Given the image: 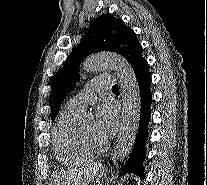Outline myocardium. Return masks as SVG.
Returning <instances> with one entry per match:
<instances>
[{
    "mask_svg": "<svg viewBox=\"0 0 207 185\" xmlns=\"http://www.w3.org/2000/svg\"><path fill=\"white\" fill-rule=\"evenodd\" d=\"M79 138L82 142V144L93 154H100L103 153L105 150L108 149L110 146V142L108 140H105L101 143H98L94 138L88 136L82 127L78 130Z\"/></svg>",
    "mask_w": 207,
    "mask_h": 185,
    "instance_id": "obj_1",
    "label": "myocardium"
}]
</instances>
